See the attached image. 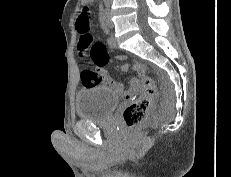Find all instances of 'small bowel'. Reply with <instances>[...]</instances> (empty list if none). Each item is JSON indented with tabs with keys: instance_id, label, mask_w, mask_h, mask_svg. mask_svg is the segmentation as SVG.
Masks as SVG:
<instances>
[{
	"instance_id": "1",
	"label": "small bowel",
	"mask_w": 231,
	"mask_h": 177,
	"mask_svg": "<svg viewBox=\"0 0 231 177\" xmlns=\"http://www.w3.org/2000/svg\"><path fill=\"white\" fill-rule=\"evenodd\" d=\"M91 1H93V0H84V2H83V7H84V6H88L87 4H88L89 2H91ZM106 34H107V38H106L107 44H108L109 46L113 47V46L115 45L113 36H112L110 33H108V32H106ZM125 58H126V57H125L124 55L118 56V59H120V60H123V59H125ZM103 66H104V65H103ZM103 66H98V72H97V73H98V75H99V77H100V81H99V83H97V84H104V85H106V86H108V87H110V88L115 89V90L118 91V92L125 93V94H131V93L135 92V91L138 89V87H139V85H140L139 80L133 79V80L131 81L130 88H129L128 90L125 91V90H124V87H123V85H122V83H120L116 78H114L112 75H110V74L104 69ZM129 68H130V67H129L128 64H124V65L122 66V71L126 72V71L129 70ZM132 68H133V70L136 71L140 76L144 75V73H145V67H144V65H142V64H140V63L134 64ZM82 82H83V84H84L85 86L96 85V84H87V83L85 82V80L83 79V77H82Z\"/></svg>"
}]
</instances>
